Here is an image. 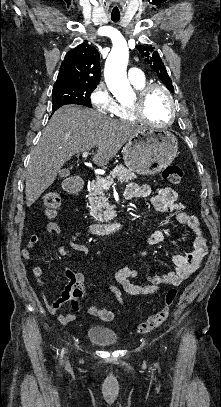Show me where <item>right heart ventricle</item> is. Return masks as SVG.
I'll return each instance as SVG.
<instances>
[{
	"instance_id": "obj_1",
	"label": "right heart ventricle",
	"mask_w": 221,
	"mask_h": 407,
	"mask_svg": "<svg viewBox=\"0 0 221 407\" xmlns=\"http://www.w3.org/2000/svg\"><path fill=\"white\" fill-rule=\"evenodd\" d=\"M137 90H140L145 85H147L146 80L140 83H132ZM116 118L126 121V122H134L136 121V117L133 114L132 104H123L120 103L117 105L116 111L114 112Z\"/></svg>"
}]
</instances>
